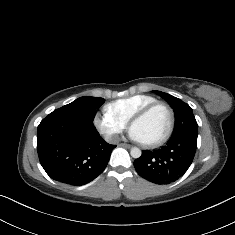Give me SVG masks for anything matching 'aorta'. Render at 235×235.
Returning <instances> with one entry per match:
<instances>
[{"mask_svg":"<svg viewBox=\"0 0 235 235\" xmlns=\"http://www.w3.org/2000/svg\"><path fill=\"white\" fill-rule=\"evenodd\" d=\"M130 153H131V156L135 159L140 158L142 155L141 150L137 147L132 148Z\"/></svg>","mask_w":235,"mask_h":235,"instance_id":"obj_1","label":"aorta"}]
</instances>
